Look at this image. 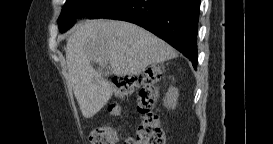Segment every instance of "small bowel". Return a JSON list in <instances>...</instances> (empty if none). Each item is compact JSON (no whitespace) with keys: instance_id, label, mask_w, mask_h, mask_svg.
<instances>
[{"instance_id":"c3829d8e","label":"small bowel","mask_w":273,"mask_h":144,"mask_svg":"<svg viewBox=\"0 0 273 144\" xmlns=\"http://www.w3.org/2000/svg\"><path fill=\"white\" fill-rule=\"evenodd\" d=\"M130 143H132V142H131V141H126V142H125V144H130Z\"/></svg>"}]
</instances>
